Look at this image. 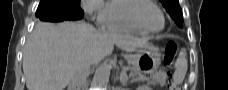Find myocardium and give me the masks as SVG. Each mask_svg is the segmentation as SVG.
<instances>
[{
  "label": "myocardium",
  "mask_w": 228,
  "mask_h": 90,
  "mask_svg": "<svg viewBox=\"0 0 228 90\" xmlns=\"http://www.w3.org/2000/svg\"><path fill=\"white\" fill-rule=\"evenodd\" d=\"M146 5H151L152 7L156 8L159 11V13L162 17V21H163L161 28H159L157 30H152V29L146 27L145 24L143 23L142 19L140 18V11ZM128 15H129L130 20L136 26H138L140 29H142L145 33L161 32L162 30H164L165 25H166L165 15H164L162 9L154 1H151V0H139L138 4L132 6L129 9Z\"/></svg>",
  "instance_id": "myocardium-1"
}]
</instances>
